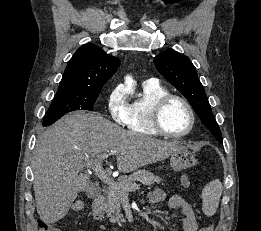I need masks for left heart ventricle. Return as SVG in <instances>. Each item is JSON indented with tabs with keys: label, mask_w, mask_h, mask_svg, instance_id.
<instances>
[{
	"label": "left heart ventricle",
	"mask_w": 261,
	"mask_h": 231,
	"mask_svg": "<svg viewBox=\"0 0 261 231\" xmlns=\"http://www.w3.org/2000/svg\"><path fill=\"white\" fill-rule=\"evenodd\" d=\"M189 121L188 111L179 100H171L163 110V126L171 133H181L185 131L189 126Z\"/></svg>",
	"instance_id": "b2bd125f"
}]
</instances>
